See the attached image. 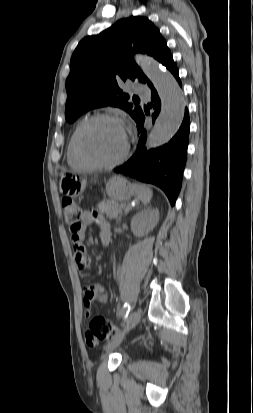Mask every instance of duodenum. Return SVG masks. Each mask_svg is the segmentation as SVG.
Listing matches in <instances>:
<instances>
[{
    "label": "duodenum",
    "mask_w": 253,
    "mask_h": 413,
    "mask_svg": "<svg viewBox=\"0 0 253 413\" xmlns=\"http://www.w3.org/2000/svg\"><path fill=\"white\" fill-rule=\"evenodd\" d=\"M102 243H103L104 246H106L108 244V237L107 236L102 237Z\"/></svg>",
    "instance_id": "410a0bca"
}]
</instances>
